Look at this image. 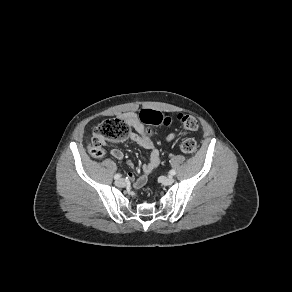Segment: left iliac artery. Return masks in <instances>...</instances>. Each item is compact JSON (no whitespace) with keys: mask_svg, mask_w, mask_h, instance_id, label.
Listing matches in <instances>:
<instances>
[{"mask_svg":"<svg viewBox=\"0 0 292 292\" xmlns=\"http://www.w3.org/2000/svg\"><path fill=\"white\" fill-rule=\"evenodd\" d=\"M169 174H170L171 176H174V175L176 174V171H175V170H171V171L169 172Z\"/></svg>","mask_w":292,"mask_h":292,"instance_id":"44dca946","label":"left iliac artery"}]
</instances>
